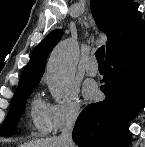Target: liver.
Listing matches in <instances>:
<instances>
[{
  "label": "liver",
  "mask_w": 145,
  "mask_h": 147,
  "mask_svg": "<svg viewBox=\"0 0 145 147\" xmlns=\"http://www.w3.org/2000/svg\"><path fill=\"white\" fill-rule=\"evenodd\" d=\"M20 147H62V144L57 137L33 140L20 145Z\"/></svg>",
  "instance_id": "6515ba94"
}]
</instances>
